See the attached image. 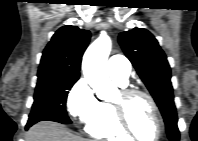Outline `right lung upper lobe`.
<instances>
[{
  "instance_id": "right-lung-upper-lobe-1",
  "label": "right lung upper lobe",
  "mask_w": 198,
  "mask_h": 141,
  "mask_svg": "<svg viewBox=\"0 0 198 141\" xmlns=\"http://www.w3.org/2000/svg\"><path fill=\"white\" fill-rule=\"evenodd\" d=\"M91 34L76 26H63L52 36L43 51L38 76L80 75L82 55L88 46Z\"/></svg>"
}]
</instances>
